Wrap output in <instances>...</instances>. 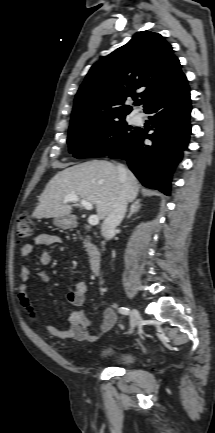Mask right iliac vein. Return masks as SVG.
I'll return each instance as SVG.
<instances>
[{
    "label": "right iliac vein",
    "instance_id": "1",
    "mask_svg": "<svg viewBox=\"0 0 215 433\" xmlns=\"http://www.w3.org/2000/svg\"><path fill=\"white\" fill-rule=\"evenodd\" d=\"M140 319H141V316H140L139 311L136 308H134L132 310L131 316H130V322H131L130 332H132L135 329V327L139 324Z\"/></svg>",
    "mask_w": 215,
    "mask_h": 433
}]
</instances>
